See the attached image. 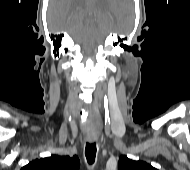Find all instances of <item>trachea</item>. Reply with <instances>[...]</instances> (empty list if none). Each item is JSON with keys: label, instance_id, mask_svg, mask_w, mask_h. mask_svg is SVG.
I'll return each mask as SVG.
<instances>
[{"label": "trachea", "instance_id": "1", "mask_svg": "<svg viewBox=\"0 0 190 170\" xmlns=\"http://www.w3.org/2000/svg\"><path fill=\"white\" fill-rule=\"evenodd\" d=\"M96 143H86L85 156L88 164L92 165L96 157Z\"/></svg>", "mask_w": 190, "mask_h": 170}]
</instances>
